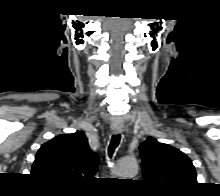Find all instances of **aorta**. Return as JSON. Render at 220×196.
I'll list each match as a JSON object with an SVG mask.
<instances>
[{"label": "aorta", "instance_id": "aorta-1", "mask_svg": "<svg viewBox=\"0 0 220 196\" xmlns=\"http://www.w3.org/2000/svg\"><path fill=\"white\" fill-rule=\"evenodd\" d=\"M115 171L120 177H132L138 171V164L133 159H122L117 163Z\"/></svg>", "mask_w": 220, "mask_h": 196}]
</instances>
